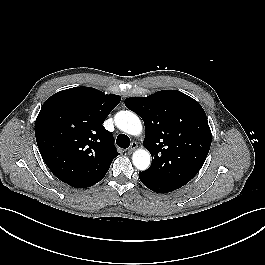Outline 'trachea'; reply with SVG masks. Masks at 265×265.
<instances>
[{"mask_svg":"<svg viewBox=\"0 0 265 265\" xmlns=\"http://www.w3.org/2000/svg\"><path fill=\"white\" fill-rule=\"evenodd\" d=\"M116 144L121 148H128L130 145V139L128 136L120 134L116 139Z\"/></svg>","mask_w":265,"mask_h":265,"instance_id":"1","label":"trachea"}]
</instances>
